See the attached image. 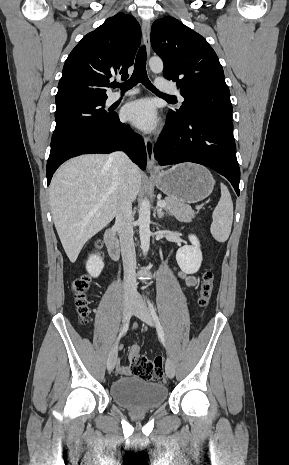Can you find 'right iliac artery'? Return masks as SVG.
<instances>
[{"label": "right iliac artery", "mask_w": 289, "mask_h": 465, "mask_svg": "<svg viewBox=\"0 0 289 465\" xmlns=\"http://www.w3.org/2000/svg\"><path fill=\"white\" fill-rule=\"evenodd\" d=\"M128 327H129V322L127 321L124 326L122 327L121 329V332L119 333V336L117 338V342L121 339V337L127 332L128 330Z\"/></svg>", "instance_id": "obj_1"}]
</instances>
